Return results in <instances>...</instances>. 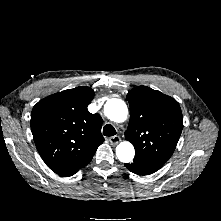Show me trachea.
<instances>
[{
	"instance_id": "1",
	"label": "trachea",
	"mask_w": 221,
	"mask_h": 221,
	"mask_svg": "<svg viewBox=\"0 0 221 221\" xmlns=\"http://www.w3.org/2000/svg\"><path fill=\"white\" fill-rule=\"evenodd\" d=\"M116 134L115 128L111 124H106L103 128V135L110 137Z\"/></svg>"
}]
</instances>
